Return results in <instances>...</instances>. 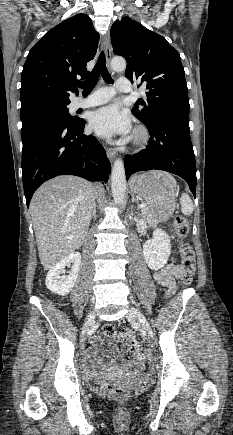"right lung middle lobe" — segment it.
Returning <instances> with one entry per match:
<instances>
[{
	"label": "right lung middle lobe",
	"mask_w": 233,
	"mask_h": 435,
	"mask_svg": "<svg viewBox=\"0 0 233 435\" xmlns=\"http://www.w3.org/2000/svg\"><path fill=\"white\" fill-rule=\"evenodd\" d=\"M78 118L72 117L67 109V105L45 108L36 112L21 116L22 130L25 131L37 125L49 121H60L65 123H75Z\"/></svg>",
	"instance_id": "1"
}]
</instances>
